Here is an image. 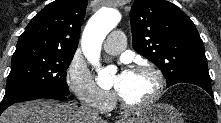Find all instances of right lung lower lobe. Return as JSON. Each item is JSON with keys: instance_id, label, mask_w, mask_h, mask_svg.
<instances>
[{"instance_id": "1", "label": "right lung lower lobe", "mask_w": 221, "mask_h": 123, "mask_svg": "<svg viewBox=\"0 0 221 123\" xmlns=\"http://www.w3.org/2000/svg\"><path fill=\"white\" fill-rule=\"evenodd\" d=\"M69 95H65L64 93L62 92H59V91H51V92H48V93H45L39 97H37L36 99H41V98H49V99H56V100H65ZM16 102H11L9 104H6V105H1V108H0V114L7 108L9 107L10 105L14 104Z\"/></svg>"}]
</instances>
